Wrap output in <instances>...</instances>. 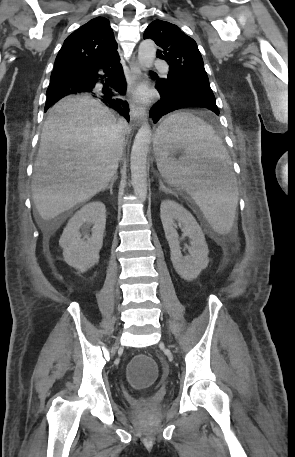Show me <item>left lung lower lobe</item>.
Instances as JSON below:
<instances>
[{"label": "left lung lower lobe", "mask_w": 295, "mask_h": 457, "mask_svg": "<svg viewBox=\"0 0 295 457\" xmlns=\"http://www.w3.org/2000/svg\"><path fill=\"white\" fill-rule=\"evenodd\" d=\"M156 88L161 95V100L150 111V117L153 118L155 123L163 115L185 107H204L219 115L215 96L212 91L202 89L187 92L172 86L163 88L158 82Z\"/></svg>", "instance_id": "0a47b994"}]
</instances>
